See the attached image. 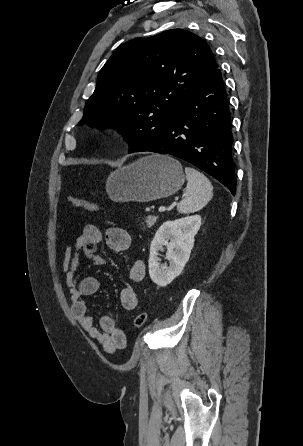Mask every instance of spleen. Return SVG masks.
I'll return each mask as SVG.
<instances>
[{
  "label": "spleen",
  "instance_id": "1",
  "mask_svg": "<svg viewBox=\"0 0 303 446\" xmlns=\"http://www.w3.org/2000/svg\"><path fill=\"white\" fill-rule=\"evenodd\" d=\"M187 186L184 199L178 203L177 210L189 214L201 210L213 196L210 180L198 170L186 167Z\"/></svg>",
  "mask_w": 303,
  "mask_h": 446
}]
</instances>
